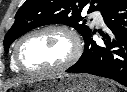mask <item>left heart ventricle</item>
Returning a JSON list of instances; mask_svg holds the SVG:
<instances>
[{"mask_svg": "<svg viewBox=\"0 0 127 92\" xmlns=\"http://www.w3.org/2000/svg\"><path fill=\"white\" fill-rule=\"evenodd\" d=\"M70 37L60 31H47L28 38L20 56L28 69L53 68L63 63L72 52Z\"/></svg>", "mask_w": 127, "mask_h": 92, "instance_id": "left-heart-ventricle-1", "label": "left heart ventricle"}]
</instances>
